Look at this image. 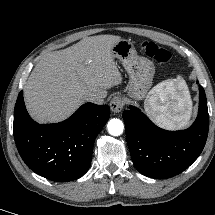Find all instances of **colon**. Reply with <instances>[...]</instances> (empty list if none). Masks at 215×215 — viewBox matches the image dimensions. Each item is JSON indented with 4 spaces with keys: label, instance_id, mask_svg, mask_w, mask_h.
Wrapping results in <instances>:
<instances>
[{
    "label": "colon",
    "instance_id": "obj_1",
    "mask_svg": "<svg viewBox=\"0 0 215 215\" xmlns=\"http://www.w3.org/2000/svg\"><path fill=\"white\" fill-rule=\"evenodd\" d=\"M142 50L148 57L159 63H166L171 59V53L154 42H143Z\"/></svg>",
    "mask_w": 215,
    "mask_h": 215
}]
</instances>
